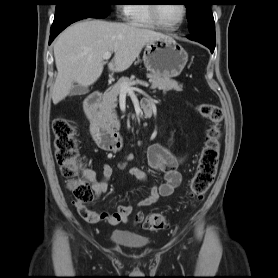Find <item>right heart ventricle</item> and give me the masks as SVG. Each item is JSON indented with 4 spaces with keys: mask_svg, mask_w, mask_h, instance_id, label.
I'll use <instances>...</instances> for the list:
<instances>
[{
    "mask_svg": "<svg viewBox=\"0 0 278 278\" xmlns=\"http://www.w3.org/2000/svg\"><path fill=\"white\" fill-rule=\"evenodd\" d=\"M129 21L132 24L143 27L154 28L156 25L152 21L148 4L135 3L129 6Z\"/></svg>",
    "mask_w": 278,
    "mask_h": 278,
    "instance_id": "1",
    "label": "right heart ventricle"
}]
</instances>
